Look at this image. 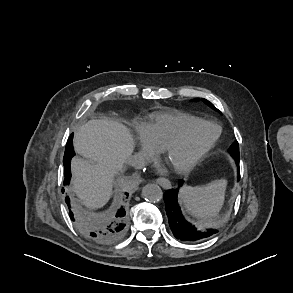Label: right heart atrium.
Wrapping results in <instances>:
<instances>
[{
	"mask_svg": "<svg viewBox=\"0 0 293 293\" xmlns=\"http://www.w3.org/2000/svg\"><path fill=\"white\" fill-rule=\"evenodd\" d=\"M140 148L141 152L146 157H151L156 151L155 148L150 144V142L142 135V131L140 135Z\"/></svg>",
	"mask_w": 293,
	"mask_h": 293,
	"instance_id": "d8ad5b80",
	"label": "right heart atrium"
}]
</instances>
